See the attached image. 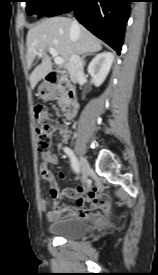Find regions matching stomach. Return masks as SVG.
Returning a JSON list of instances; mask_svg holds the SVG:
<instances>
[{
	"label": "stomach",
	"instance_id": "1",
	"mask_svg": "<svg viewBox=\"0 0 158 275\" xmlns=\"http://www.w3.org/2000/svg\"><path fill=\"white\" fill-rule=\"evenodd\" d=\"M38 96L45 101L52 99L54 96L53 87L49 83L43 82L38 88Z\"/></svg>",
	"mask_w": 158,
	"mask_h": 275
}]
</instances>
